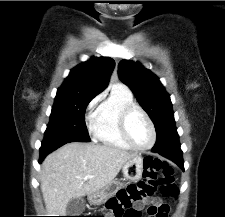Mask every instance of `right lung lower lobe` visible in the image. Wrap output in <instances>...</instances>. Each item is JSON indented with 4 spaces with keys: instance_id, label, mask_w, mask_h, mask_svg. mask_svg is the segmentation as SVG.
<instances>
[{
    "instance_id": "1",
    "label": "right lung lower lobe",
    "mask_w": 225,
    "mask_h": 217,
    "mask_svg": "<svg viewBox=\"0 0 225 217\" xmlns=\"http://www.w3.org/2000/svg\"><path fill=\"white\" fill-rule=\"evenodd\" d=\"M69 143L67 141H43L41 148H40V160L41 162L46 155H48L50 152L56 150L57 148L61 147L62 145Z\"/></svg>"
}]
</instances>
